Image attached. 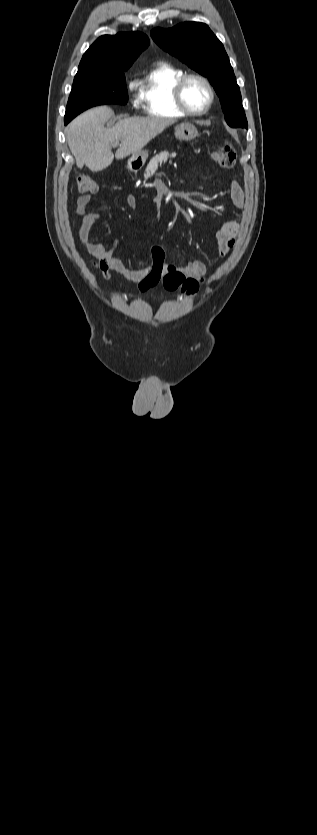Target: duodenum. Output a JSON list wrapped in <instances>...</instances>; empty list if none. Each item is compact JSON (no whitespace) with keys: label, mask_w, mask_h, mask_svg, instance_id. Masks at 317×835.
Segmentation results:
<instances>
[{"label":"duodenum","mask_w":317,"mask_h":835,"mask_svg":"<svg viewBox=\"0 0 317 835\" xmlns=\"http://www.w3.org/2000/svg\"><path fill=\"white\" fill-rule=\"evenodd\" d=\"M134 168H137V165H136V164H134Z\"/></svg>","instance_id":"duodenum-1"}]
</instances>
